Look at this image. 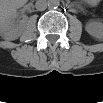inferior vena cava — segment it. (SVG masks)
<instances>
[{"mask_svg":"<svg viewBox=\"0 0 103 103\" xmlns=\"http://www.w3.org/2000/svg\"><path fill=\"white\" fill-rule=\"evenodd\" d=\"M48 6V3L46 0H38L36 3H35V7L37 10L39 11H44Z\"/></svg>","mask_w":103,"mask_h":103,"instance_id":"1","label":"inferior vena cava"}]
</instances>
